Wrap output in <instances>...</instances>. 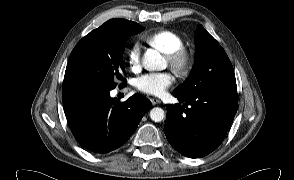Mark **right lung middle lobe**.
I'll use <instances>...</instances> for the list:
<instances>
[{"label":"right lung middle lobe","instance_id":"right-lung-middle-lobe-1","mask_svg":"<svg viewBox=\"0 0 294 180\" xmlns=\"http://www.w3.org/2000/svg\"><path fill=\"white\" fill-rule=\"evenodd\" d=\"M142 30L143 27L137 31L95 29L83 37L70 55L63 91L83 86H100L112 90L118 81H125L122 59L125 43L131 34Z\"/></svg>","mask_w":294,"mask_h":180}]
</instances>
